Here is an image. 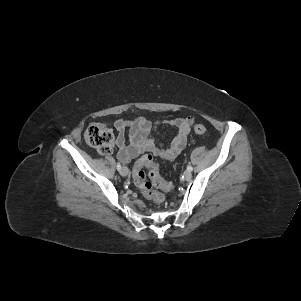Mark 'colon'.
<instances>
[{
  "instance_id": "colon-1",
  "label": "colon",
  "mask_w": 301,
  "mask_h": 301,
  "mask_svg": "<svg viewBox=\"0 0 301 301\" xmlns=\"http://www.w3.org/2000/svg\"><path fill=\"white\" fill-rule=\"evenodd\" d=\"M206 131V127L202 124L194 126V132L196 134L202 135L205 134ZM84 137L86 142L96 148L100 153H110L113 143V134L109 128L101 124H91L86 128ZM145 168L148 169V179L144 172ZM132 177L142 194L157 204L162 203L164 197L163 194L155 188L161 190L172 189V185L161 177L159 163L154 160L151 154L144 155L135 163Z\"/></svg>"
}]
</instances>
